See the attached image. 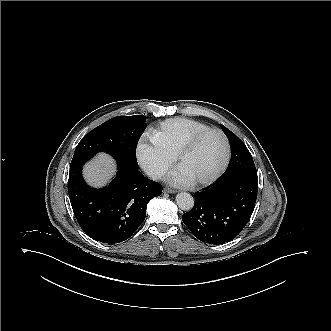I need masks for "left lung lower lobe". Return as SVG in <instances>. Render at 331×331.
I'll use <instances>...</instances> for the list:
<instances>
[{
	"label": "left lung lower lobe",
	"instance_id": "left-lung-lower-lobe-1",
	"mask_svg": "<svg viewBox=\"0 0 331 331\" xmlns=\"http://www.w3.org/2000/svg\"><path fill=\"white\" fill-rule=\"evenodd\" d=\"M258 192V177L237 174L194 194L195 205L182 220L202 242L223 244L233 240L251 217Z\"/></svg>",
	"mask_w": 331,
	"mask_h": 331
}]
</instances>
